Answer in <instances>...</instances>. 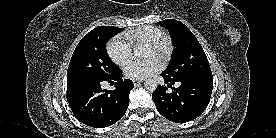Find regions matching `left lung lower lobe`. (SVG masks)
<instances>
[{
    "mask_svg": "<svg viewBox=\"0 0 276 138\" xmlns=\"http://www.w3.org/2000/svg\"><path fill=\"white\" fill-rule=\"evenodd\" d=\"M165 86H159L153 92L152 98L158 112L166 119L185 123L197 118L208 106L213 89V78H199L174 81L164 72ZM179 84L172 88V84ZM167 88H172L168 92Z\"/></svg>",
    "mask_w": 276,
    "mask_h": 138,
    "instance_id": "0a47b994",
    "label": "left lung lower lobe"
}]
</instances>
